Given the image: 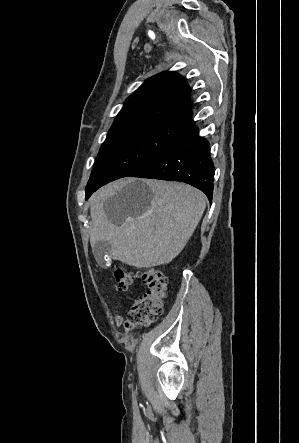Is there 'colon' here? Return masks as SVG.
Instances as JSON below:
<instances>
[{"label":"colon","mask_w":299,"mask_h":443,"mask_svg":"<svg viewBox=\"0 0 299 443\" xmlns=\"http://www.w3.org/2000/svg\"><path fill=\"white\" fill-rule=\"evenodd\" d=\"M114 275L116 289L121 292H127L137 276L127 271L124 266L116 269ZM139 275L146 285V290L129 305L125 323L127 330L148 326L154 323L163 312V301L166 298L167 288L166 276L154 268L146 269Z\"/></svg>","instance_id":"colon-1"}]
</instances>
